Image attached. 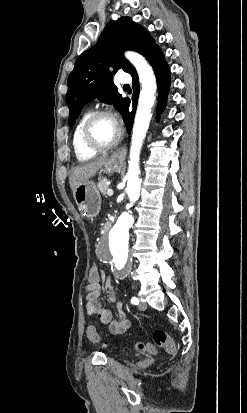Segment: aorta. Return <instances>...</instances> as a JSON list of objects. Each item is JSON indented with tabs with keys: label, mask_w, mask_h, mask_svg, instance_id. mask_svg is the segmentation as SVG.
Segmentation results:
<instances>
[{
	"label": "aorta",
	"mask_w": 247,
	"mask_h": 413,
	"mask_svg": "<svg viewBox=\"0 0 247 413\" xmlns=\"http://www.w3.org/2000/svg\"><path fill=\"white\" fill-rule=\"evenodd\" d=\"M126 58L137 70L142 89L140 91L138 107L133 126L132 142L130 148V161L126 174L128 180L126 192L130 205L135 203L140 196L141 179L139 178L140 150L146 132L152 118V107L155 101L156 78L151 66L144 57L135 52L125 53ZM134 218L127 212H123L113 229L110 239L112 240V255L118 269H122L127 262L128 255V230L133 225Z\"/></svg>",
	"instance_id": "762f6f07"
}]
</instances>
